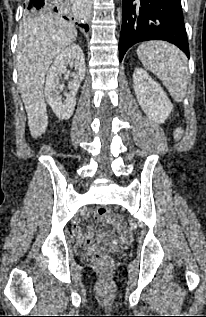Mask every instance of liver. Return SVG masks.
<instances>
[{
    "label": "liver",
    "instance_id": "6515ba94",
    "mask_svg": "<svg viewBox=\"0 0 206 317\" xmlns=\"http://www.w3.org/2000/svg\"><path fill=\"white\" fill-rule=\"evenodd\" d=\"M75 26L61 16L42 13L25 21L19 30L17 70L20 94L33 138L48 126L43 95L45 75L54 58L75 41Z\"/></svg>",
    "mask_w": 206,
    "mask_h": 317
}]
</instances>
